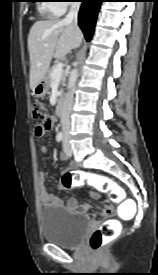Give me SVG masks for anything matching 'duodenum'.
<instances>
[{
  "label": "duodenum",
  "mask_w": 158,
  "mask_h": 275,
  "mask_svg": "<svg viewBox=\"0 0 158 275\" xmlns=\"http://www.w3.org/2000/svg\"><path fill=\"white\" fill-rule=\"evenodd\" d=\"M63 104H64V98L61 96L58 99L57 106H56V115L60 117L63 113Z\"/></svg>",
  "instance_id": "obj_1"
}]
</instances>
